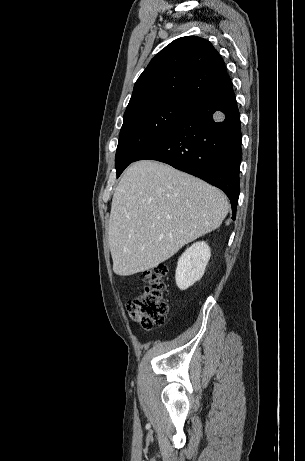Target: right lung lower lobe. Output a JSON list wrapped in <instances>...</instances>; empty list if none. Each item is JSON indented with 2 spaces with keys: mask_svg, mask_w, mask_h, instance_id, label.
I'll list each match as a JSON object with an SVG mask.
<instances>
[{
  "mask_svg": "<svg viewBox=\"0 0 305 461\" xmlns=\"http://www.w3.org/2000/svg\"><path fill=\"white\" fill-rule=\"evenodd\" d=\"M241 139L240 114L229 81L190 104L172 129L135 161H161L220 188L230 199L234 220Z\"/></svg>",
  "mask_w": 305,
  "mask_h": 461,
  "instance_id": "1",
  "label": "right lung lower lobe"
}]
</instances>
